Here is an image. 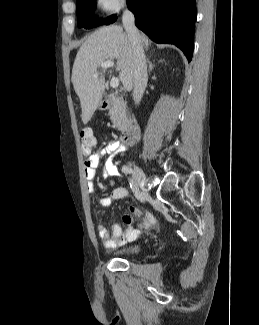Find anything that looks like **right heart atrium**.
Instances as JSON below:
<instances>
[{"mask_svg": "<svg viewBox=\"0 0 259 325\" xmlns=\"http://www.w3.org/2000/svg\"><path fill=\"white\" fill-rule=\"evenodd\" d=\"M126 3V0H96L98 8L107 14L119 11Z\"/></svg>", "mask_w": 259, "mask_h": 325, "instance_id": "d8ad5b80", "label": "right heart atrium"}]
</instances>
